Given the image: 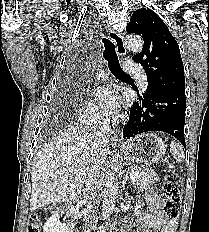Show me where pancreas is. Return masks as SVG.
Masks as SVG:
<instances>
[{"instance_id":"cf45deb5","label":"pancreas","mask_w":209,"mask_h":232,"mask_svg":"<svg viewBox=\"0 0 209 232\" xmlns=\"http://www.w3.org/2000/svg\"><path fill=\"white\" fill-rule=\"evenodd\" d=\"M132 169H134L135 172H137V174H135V176L132 177L133 185L135 189L138 190L147 189L149 185L159 180V177L152 170L143 169L138 166H135Z\"/></svg>"}]
</instances>
